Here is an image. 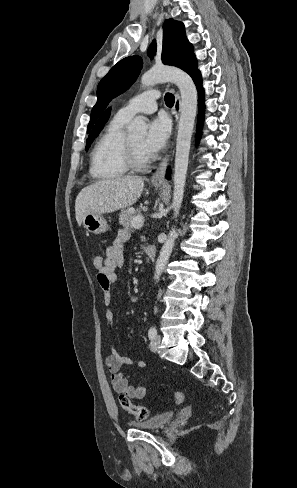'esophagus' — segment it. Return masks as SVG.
I'll return each instance as SVG.
<instances>
[{"instance_id":"1","label":"esophagus","mask_w":297,"mask_h":488,"mask_svg":"<svg viewBox=\"0 0 297 488\" xmlns=\"http://www.w3.org/2000/svg\"><path fill=\"white\" fill-rule=\"evenodd\" d=\"M180 110H181V97H180V94L177 92L175 95V103H174L175 122L178 121V118L180 115ZM171 152H172V144L169 145L165 156L160 161L155 173L153 174V176L151 178V182L153 184H160L164 181V176H165L167 165H168V162H169V159L171 156Z\"/></svg>"}]
</instances>
